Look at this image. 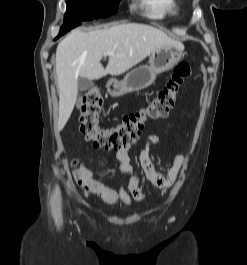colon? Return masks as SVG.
<instances>
[{
  "label": "colon",
  "instance_id": "5ec220e1",
  "mask_svg": "<svg viewBox=\"0 0 247 265\" xmlns=\"http://www.w3.org/2000/svg\"><path fill=\"white\" fill-rule=\"evenodd\" d=\"M190 75V64H178L171 78L146 108L126 115L118 124L111 127H103L100 123L103 106L100 91L96 88L88 90L81 107L80 131L85 135L86 140L97 148L109 150L122 148L140 136L148 119H162L169 114L175 105L179 90Z\"/></svg>",
  "mask_w": 247,
  "mask_h": 265
}]
</instances>
